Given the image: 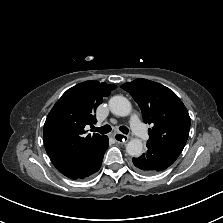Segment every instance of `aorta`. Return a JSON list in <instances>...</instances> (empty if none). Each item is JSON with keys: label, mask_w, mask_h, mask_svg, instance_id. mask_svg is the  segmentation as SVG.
<instances>
[{"label": "aorta", "mask_w": 223, "mask_h": 223, "mask_svg": "<svg viewBox=\"0 0 223 223\" xmlns=\"http://www.w3.org/2000/svg\"><path fill=\"white\" fill-rule=\"evenodd\" d=\"M109 108L114 115L125 117L131 113L129 100L123 96H113L109 100ZM127 153L132 157H140L143 152V143L138 138L131 139L126 146Z\"/></svg>", "instance_id": "obj_1"}]
</instances>
